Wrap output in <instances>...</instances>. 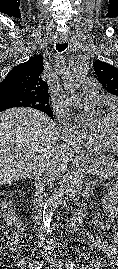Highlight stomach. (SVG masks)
Wrapping results in <instances>:
<instances>
[{
    "label": "stomach",
    "instance_id": "stomach-1",
    "mask_svg": "<svg viewBox=\"0 0 118 269\" xmlns=\"http://www.w3.org/2000/svg\"><path fill=\"white\" fill-rule=\"evenodd\" d=\"M82 167L92 175L99 178H111L118 174V162L113 158L103 157L91 164Z\"/></svg>",
    "mask_w": 118,
    "mask_h": 269
}]
</instances>
